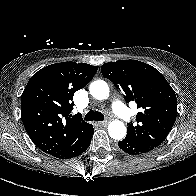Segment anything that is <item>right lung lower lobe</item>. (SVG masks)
<instances>
[{
	"label": "right lung lower lobe",
	"mask_w": 196,
	"mask_h": 196,
	"mask_svg": "<svg viewBox=\"0 0 196 196\" xmlns=\"http://www.w3.org/2000/svg\"><path fill=\"white\" fill-rule=\"evenodd\" d=\"M93 133V126L90 125L71 145L52 155L59 159H70L80 155L89 147Z\"/></svg>",
	"instance_id": "obj_1"
}]
</instances>
